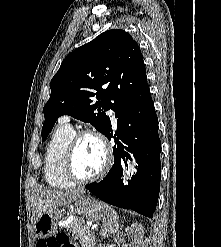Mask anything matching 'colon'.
I'll list each match as a JSON object with an SVG mask.
<instances>
[{
  "instance_id": "1",
  "label": "colon",
  "mask_w": 221,
  "mask_h": 247,
  "mask_svg": "<svg viewBox=\"0 0 221 247\" xmlns=\"http://www.w3.org/2000/svg\"><path fill=\"white\" fill-rule=\"evenodd\" d=\"M67 245H69L67 236L58 234L55 237L48 238L44 243H40L39 247H67Z\"/></svg>"
}]
</instances>
